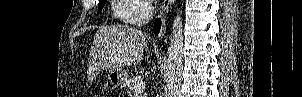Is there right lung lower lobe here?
I'll use <instances>...</instances> for the list:
<instances>
[{"label": "right lung lower lobe", "instance_id": "obj_1", "mask_svg": "<svg viewBox=\"0 0 302 97\" xmlns=\"http://www.w3.org/2000/svg\"><path fill=\"white\" fill-rule=\"evenodd\" d=\"M160 26H161V21H160V19L158 18V19L156 20V22H155V24H154V28H153V30H154V32H155L156 35H157V34L159 33V31H160Z\"/></svg>", "mask_w": 302, "mask_h": 97}]
</instances>
